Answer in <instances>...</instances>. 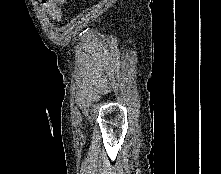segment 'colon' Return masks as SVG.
I'll list each match as a JSON object with an SVG mask.
<instances>
[{
    "label": "colon",
    "mask_w": 221,
    "mask_h": 174,
    "mask_svg": "<svg viewBox=\"0 0 221 174\" xmlns=\"http://www.w3.org/2000/svg\"><path fill=\"white\" fill-rule=\"evenodd\" d=\"M66 0H42V4L45 6L50 16L54 20H59L61 18V13L59 7Z\"/></svg>",
    "instance_id": "5ec220e1"
}]
</instances>
